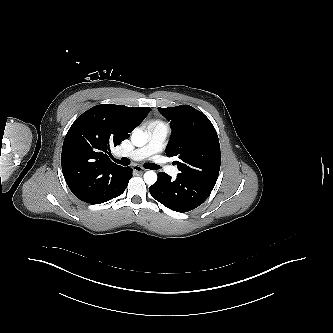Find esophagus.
I'll return each instance as SVG.
<instances>
[{
    "label": "esophagus",
    "instance_id": "obj_1",
    "mask_svg": "<svg viewBox=\"0 0 333 333\" xmlns=\"http://www.w3.org/2000/svg\"><path fill=\"white\" fill-rule=\"evenodd\" d=\"M132 169H133L134 171L138 172V173H143V172L146 171V169H144L143 167H141V166H139V165H134V166L132 167Z\"/></svg>",
    "mask_w": 333,
    "mask_h": 333
}]
</instances>
